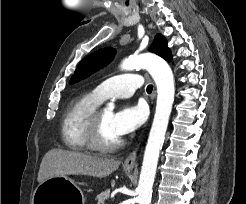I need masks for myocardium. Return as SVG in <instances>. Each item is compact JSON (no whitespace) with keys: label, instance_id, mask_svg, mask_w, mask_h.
Masks as SVG:
<instances>
[{"label":"myocardium","instance_id":"1","mask_svg":"<svg viewBox=\"0 0 246 204\" xmlns=\"http://www.w3.org/2000/svg\"><path fill=\"white\" fill-rule=\"evenodd\" d=\"M86 140L90 149L99 152H111L119 149L124 144L122 138L113 143H104L101 140V111L99 110H96L90 119L86 131Z\"/></svg>","mask_w":246,"mask_h":204}]
</instances>
